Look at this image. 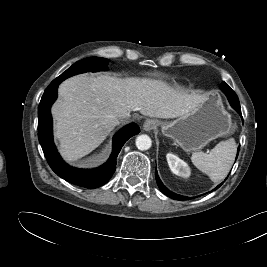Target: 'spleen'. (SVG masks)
I'll use <instances>...</instances> for the list:
<instances>
[{
    "instance_id": "1",
    "label": "spleen",
    "mask_w": 267,
    "mask_h": 267,
    "mask_svg": "<svg viewBox=\"0 0 267 267\" xmlns=\"http://www.w3.org/2000/svg\"><path fill=\"white\" fill-rule=\"evenodd\" d=\"M236 143L233 138L219 142L209 153L195 152L191 157L194 166L217 183L229 173L235 156Z\"/></svg>"
}]
</instances>
